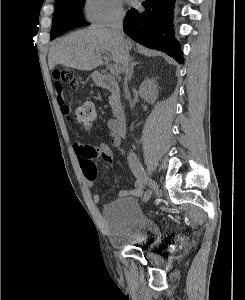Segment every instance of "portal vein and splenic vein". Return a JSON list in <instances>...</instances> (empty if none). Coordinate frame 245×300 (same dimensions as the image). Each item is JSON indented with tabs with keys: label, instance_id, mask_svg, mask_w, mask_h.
<instances>
[{
	"label": "portal vein and splenic vein",
	"instance_id": "18ae733b",
	"mask_svg": "<svg viewBox=\"0 0 245 300\" xmlns=\"http://www.w3.org/2000/svg\"><path fill=\"white\" fill-rule=\"evenodd\" d=\"M105 58V57H104ZM110 72L112 74H119L120 73V66L119 65H113L111 68H110Z\"/></svg>",
	"mask_w": 245,
	"mask_h": 300
}]
</instances>
